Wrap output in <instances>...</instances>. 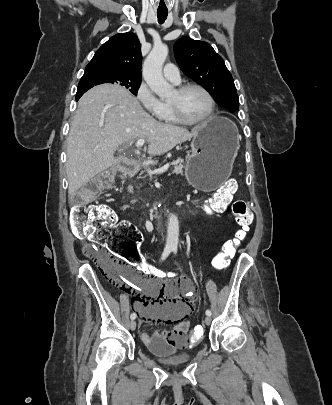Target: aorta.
Here are the masks:
<instances>
[{
    "label": "aorta",
    "mask_w": 332,
    "mask_h": 405,
    "mask_svg": "<svg viewBox=\"0 0 332 405\" xmlns=\"http://www.w3.org/2000/svg\"><path fill=\"white\" fill-rule=\"evenodd\" d=\"M168 55V47L155 44L143 64V77L150 89L160 98L166 97L171 91V85L164 79L162 67ZM179 238V222L175 215H171L167 228V245L176 247Z\"/></svg>",
    "instance_id": "obj_1"
}]
</instances>
